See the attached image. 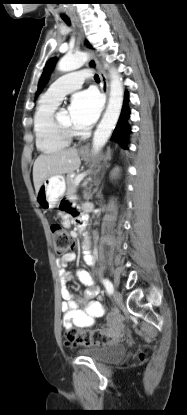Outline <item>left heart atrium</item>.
Here are the masks:
<instances>
[{
	"label": "left heart atrium",
	"instance_id": "39dd6f15",
	"mask_svg": "<svg viewBox=\"0 0 187 415\" xmlns=\"http://www.w3.org/2000/svg\"><path fill=\"white\" fill-rule=\"evenodd\" d=\"M101 100L97 92L91 89L75 93L69 105V115L75 128L90 127L98 118Z\"/></svg>",
	"mask_w": 187,
	"mask_h": 415
}]
</instances>
